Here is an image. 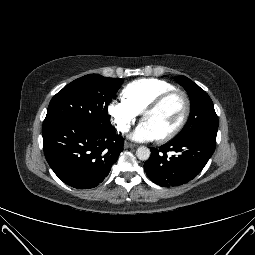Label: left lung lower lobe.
I'll list each match as a JSON object with an SVG mask.
<instances>
[{"instance_id": "0a47b994", "label": "left lung lower lobe", "mask_w": 255, "mask_h": 255, "mask_svg": "<svg viewBox=\"0 0 255 255\" xmlns=\"http://www.w3.org/2000/svg\"><path fill=\"white\" fill-rule=\"evenodd\" d=\"M216 140L190 138L171 140L159 149L151 148V156L144 164L149 179L162 187L179 186L196 177L212 156ZM174 155L168 156L167 153Z\"/></svg>"}]
</instances>
